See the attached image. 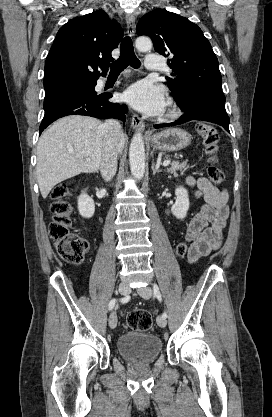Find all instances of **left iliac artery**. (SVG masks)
<instances>
[{
	"label": "left iliac artery",
	"mask_w": 272,
	"mask_h": 417,
	"mask_svg": "<svg viewBox=\"0 0 272 417\" xmlns=\"http://www.w3.org/2000/svg\"><path fill=\"white\" fill-rule=\"evenodd\" d=\"M153 293H154V296L160 301V302H162V296H161V293H160V290H159V287H158V285L157 284H153ZM162 316L164 317V318H167V313L166 312H164L163 314H162Z\"/></svg>",
	"instance_id": "obj_1"
}]
</instances>
